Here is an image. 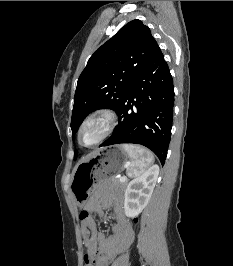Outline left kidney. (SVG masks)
<instances>
[{
    "mask_svg": "<svg viewBox=\"0 0 233 266\" xmlns=\"http://www.w3.org/2000/svg\"><path fill=\"white\" fill-rule=\"evenodd\" d=\"M159 175V167L153 165L141 176L133 179L125 190L124 210L127 217H136L148 204Z\"/></svg>",
    "mask_w": 233,
    "mask_h": 266,
    "instance_id": "left-kidney-1",
    "label": "left kidney"
}]
</instances>
